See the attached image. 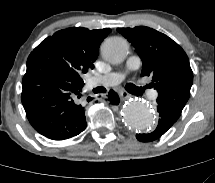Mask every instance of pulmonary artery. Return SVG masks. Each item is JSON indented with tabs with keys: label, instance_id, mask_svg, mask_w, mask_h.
Wrapping results in <instances>:
<instances>
[{
	"label": "pulmonary artery",
	"instance_id": "obj_1",
	"mask_svg": "<svg viewBox=\"0 0 215 183\" xmlns=\"http://www.w3.org/2000/svg\"><path fill=\"white\" fill-rule=\"evenodd\" d=\"M140 63L141 60L138 56H132L127 60L124 71L114 72L105 77H98L95 79L94 83L101 84L106 87L118 85L126 78L129 72L137 69L140 66ZM157 95L158 93L156 90H153L150 93V97L152 99H156Z\"/></svg>",
	"mask_w": 215,
	"mask_h": 183
}]
</instances>
